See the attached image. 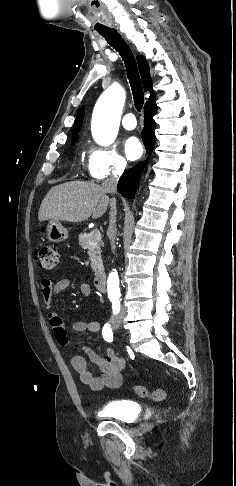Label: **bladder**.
<instances>
[{
	"instance_id": "bladder-1",
	"label": "bladder",
	"mask_w": 236,
	"mask_h": 486,
	"mask_svg": "<svg viewBox=\"0 0 236 486\" xmlns=\"http://www.w3.org/2000/svg\"><path fill=\"white\" fill-rule=\"evenodd\" d=\"M139 408V405L133 401H112L103 407L101 414L104 417L130 422L136 419V417L138 416Z\"/></svg>"
}]
</instances>
